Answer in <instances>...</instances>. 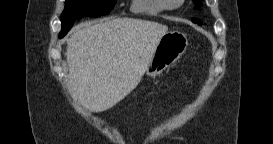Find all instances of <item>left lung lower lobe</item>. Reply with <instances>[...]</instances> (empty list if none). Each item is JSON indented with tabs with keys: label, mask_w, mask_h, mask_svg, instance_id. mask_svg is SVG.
Returning <instances> with one entry per match:
<instances>
[{
	"label": "left lung lower lobe",
	"mask_w": 273,
	"mask_h": 144,
	"mask_svg": "<svg viewBox=\"0 0 273 144\" xmlns=\"http://www.w3.org/2000/svg\"><path fill=\"white\" fill-rule=\"evenodd\" d=\"M194 23H196V24H198V25H202V22L201 21H199V20H197V19H194V20H192Z\"/></svg>",
	"instance_id": "left-lung-lower-lobe-1"
}]
</instances>
